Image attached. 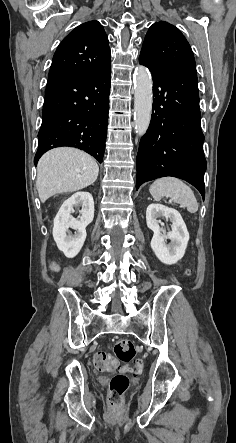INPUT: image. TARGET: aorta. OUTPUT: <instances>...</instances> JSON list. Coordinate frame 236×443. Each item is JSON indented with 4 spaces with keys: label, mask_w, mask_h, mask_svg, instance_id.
Wrapping results in <instances>:
<instances>
[{
    "label": "aorta",
    "mask_w": 236,
    "mask_h": 443,
    "mask_svg": "<svg viewBox=\"0 0 236 443\" xmlns=\"http://www.w3.org/2000/svg\"><path fill=\"white\" fill-rule=\"evenodd\" d=\"M134 87L135 128L139 136H143L150 124L153 103L152 78L145 66L137 67Z\"/></svg>",
    "instance_id": "aorta-1"
}]
</instances>
